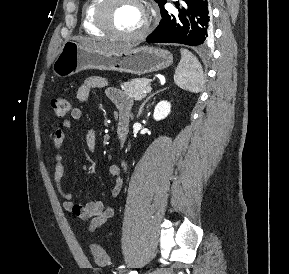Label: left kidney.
Wrapping results in <instances>:
<instances>
[{
  "label": "left kidney",
  "instance_id": "1",
  "mask_svg": "<svg viewBox=\"0 0 289 274\" xmlns=\"http://www.w3.org/2000/svg\"><path fill=\"white\" fill-rule=\"evenodd\" d=\"M171 111V104L168 101H160L155 109H154V114L153 118L156 121L165 119Z\"/></svg>",
  "mask_w": 289,
  "mask_h": 274
}]
</instances>
